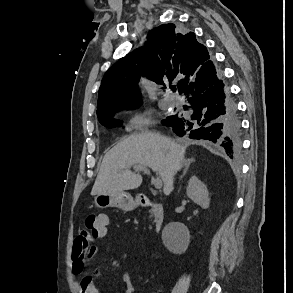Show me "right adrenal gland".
Here are the masks:
<instances>
[{"label": "right adrenal gland", "mask_w": 293, "mask_h": 293, "mask_svg": "<svg viewBox=\"0 0 293 293\" xmlns=\"http://www.w3.org/2000/svg\"><path fill=\"white\" fill-rule=\"evenodd\" d=\"M195 160L193 158L191 159H188V160H185L184 162V170H183V173L182 175L180 176L179 180H181L183 178V176L187 173L191 163H193Z\"/></svg>", "instance_id": "1"}]
</instances>
